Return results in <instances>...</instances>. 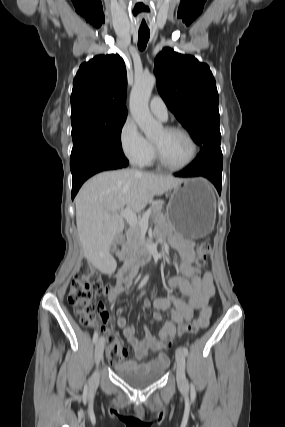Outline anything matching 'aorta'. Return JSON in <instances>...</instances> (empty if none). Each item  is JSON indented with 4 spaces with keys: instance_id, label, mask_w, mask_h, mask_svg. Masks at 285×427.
Segmentation results:
<instances>
[{
    "instance_id": "1",
    "label": "aorta",
    "mask_w": 285,
    "mask_h": 427,
    "mask_svg": "<svg viewBox=\"0 0 285 427\" xmlns=\"http://www.w3.org/2000/svg\"><path fill=\"white\" fill-rule=\"evenodd\" d=\"M156 83L154 75H141L135 78L130 94V113L147 138L155 137L162 129L150 113L149 99Z\"/></svg>"
}]
</instances>
